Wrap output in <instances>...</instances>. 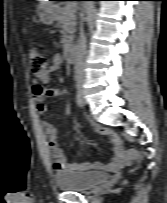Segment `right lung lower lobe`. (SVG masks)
<instances>
[{"instance_id":"98d812e1","label":"right lung lower lobe","mask_w":167,"mask_h":203,"mask_svg":"<svg viewBox=\"0 0 167 203\" xmlns=\"http://www.w3.org/2000/svg\"><path fill=\"white\" fill-rule=\"evenodd\" d=\"M78 1H100V0H78Z\"/></svg>"}]
</instances>
